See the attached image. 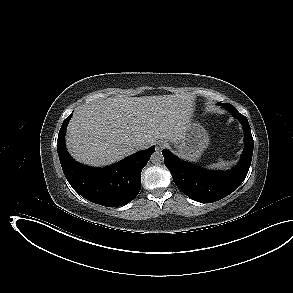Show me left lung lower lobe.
Here are the masks:
<instances>
[{"instance_id": "obj_1", "label": "left lung lower lobe", "mask_w": 293, "mask_h": 293, "mask_svg": "<svg viewBox=\"0 0 293 293\" xmlns=\"http://www.w3.org/2000/svg\"><path fill=\"white\" fill-rule=\"evenodd\" d=\"M239 119L244 129L245 148L238 165L228 171H211L181 161L168 150H163L165 166L171 171L176 186L191 199L212 203L235 191L245 179L253 154L254 141L247 118Z\"/></svg>"}]
</instances>
